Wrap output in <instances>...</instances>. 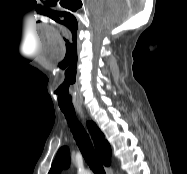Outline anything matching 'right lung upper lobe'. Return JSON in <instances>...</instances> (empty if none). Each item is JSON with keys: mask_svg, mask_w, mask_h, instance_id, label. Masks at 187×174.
<instances>
[{"mask_svg": "<svg viewBox=\"0 0 187 174\" xmlns=\"http://www.w3.org/2000/svg\"><path fill=\"white\" fill-rule=\"evenodd\" d=\"M88 128L94 140L96 151L104 165L110 164L111 150L107 141L104 140V135L93 122H88Z\"/></svg>", "mask_w": 187, "mask_h": 174, "instance_id": "right-lung-upper-lobe-1", "label": "right lung upper lobe"}]
</instances>
